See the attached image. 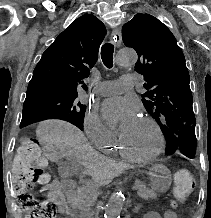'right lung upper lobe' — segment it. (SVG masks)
Listing matches in <instances>:
<instances>
[{
	"label": "right lung upper lobe",
	"mask_w": 211,
	"mask_h": 218,
	"mask_svg": "<svg viewBox=\"0 0 211 218\" xmlns=\"http://www.w3.org/2000/svg\"><path fill=\"white\" fill-rule=\"evenodd\" d=\"M104 24L94 15L74 20L43 53L29 82L25 102L78 95L77 88L98 59L105 37ZM86 90V85H82Z\"/></svg>",
	"instance_id": "1"
}]
</instances>
